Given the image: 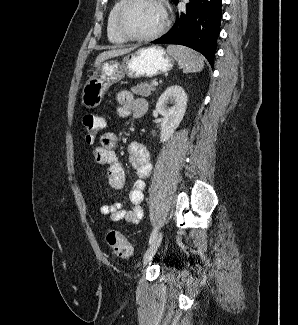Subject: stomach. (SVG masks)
<instances>
[{
  "mask_svg": "<svg viewBox=\"0 0 298 325\" xmlns=\"http://www.w3.org/2000/svg\"><path fill=\"white\" fill-rule=\"evenodd\" d=\"M174 66V58L163 46L151 44L131 50L122 60L101 62L89 76L81 90V102L85 108H96L101 104L112 84L123 78H153L157 74L169 72Z\"/></svg>",
  "mask_w": 298,
  "mask_h": 325,
  "instance_id": "obj_1",
  "label": "stomach"
}]
</instances>
